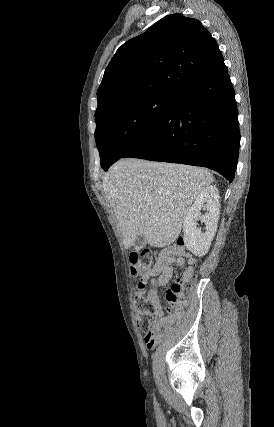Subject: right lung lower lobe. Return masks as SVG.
Returning <instances> with one entry per match:
<instances>
[{
  "label": "right lung lower lobe",
  "mask_w": 274,
  "mask_h": 427,
  "mask_svg": "<svg viewBox=\"0 0 274 427\" xmlns=\"http://www.w3.org/2000/svg\"><path fill=\"white\" fill-rule=\"evenodd\" d=\"M239 144L235 93L225 67L175 95L160 122L122 158L203 166L232 182Z\"/></svg>",
  "instance_id": "obj_1"
}]
</instances>
